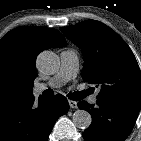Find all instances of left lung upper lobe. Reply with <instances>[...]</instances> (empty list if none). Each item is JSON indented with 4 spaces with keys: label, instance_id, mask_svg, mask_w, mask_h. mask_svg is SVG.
<instances>
[{
    "label": "left lung upper lobe",
    "instance_id": "5c2ea615",
    "mask_svg": "<svg viewBox=\"0 0 141 141\" xmlns=\"http://www.w3.org/2000/svg\"><path fill=\"white\" fill-rule=\"evenodd\" d=\"M65 36L81 48L82 78L101 88L97 100L116 105H141V73L124 40L105 24L83 21L62 27Z\"/></svg>",
    "mask_w": 141,
    "mask_h": 141
}]
</instances>
